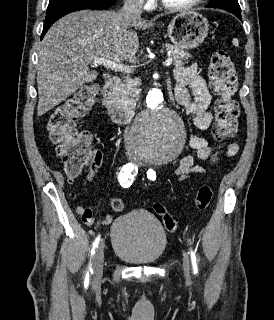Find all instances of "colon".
I'll return each instance as SVG.
<instances>
[{"label": "colon", "mask_w": 274, "mask_h": 320, "mask_svg": "<svg viewBox=\"0 0 274 320\" xmlns=\"http://www.w3.org/2000/svg\"><path fill=\"white\" fill-rule=\"evenodd\" d=\"M208 76L212 90L218 97L213 136L217 142H222L236 135L239 115V109L234 100L237 89V72L227 52L217 51L212 54ZM92 93L91 87L82 89L57 106L49 120L51 138L57 144V154L62 160L66 175L70 180L78 175L94 153L92 134L76 129V122L87 106V101ZM212 195L211 186L202 184L195 196L196 207L205 209L209 205ZM111 206L116 212L124 210V203L119 199H114ZM152 209L162 217L166 230L173 233L176 229V221L166 207L156 203Z\"/></svg>", "instance_id": "5ec220e1"}]
</instances>
